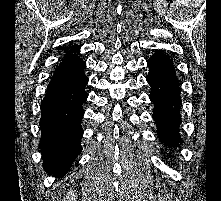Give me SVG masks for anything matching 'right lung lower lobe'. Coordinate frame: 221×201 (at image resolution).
<instances>
[{"label":"right lung lower lobe","mask_w":221,"mask_h":201,"mask_svg":"<svg viewBox=\"0 0 221 201\" xmlns=\"http://www.w3.org/2000/svg\"><path fill=\"white\" fill-rule=\"evenodd\" d=\"M83 60L62 61L55 70L40 105V149L46 172L63 176L82 151V104L87 99Z\"/></svg>","instance_id":"98d812e1"}]
</instances>
